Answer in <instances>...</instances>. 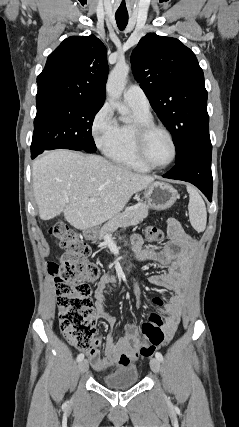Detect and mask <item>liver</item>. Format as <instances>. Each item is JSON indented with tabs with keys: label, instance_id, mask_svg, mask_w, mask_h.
I'll return each mask as SVG.
<instances>
[{
	"label": "liver",
	"instance_id": "liver-1",
	"mask_svg": "<svg viewBox=\"0 0 239 427\" xmlns=\"http://www.w3.org/2000/svg\"><path fill=\"white\" fill-rule=\"evenodd\" d=\"M154 181L99 155L54 150L36 159L32 183L40 219L62 212L76 229L98 227L115 217L131 196Z\"/></svg>",
	"mask_w": 239,
	"mask_h": 427
}]
</instances>
